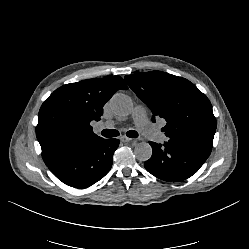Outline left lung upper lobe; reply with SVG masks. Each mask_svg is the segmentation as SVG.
Masks as SVG:
<instances>
[{
  "label": "left lung upper lobe",
  "instance_id": "obj_1",
  "mask_svg": "<svg viewBox=\"0 0 249 249\" xmlns=\"http://www.w3.org/2000/svg\"><path fill=\"white\" fill-rule=\"evenodd\" d=\"M129 87L152 111L164 118L168 142L211 152L216 119L209 99L185 78L162 71L125 76Z\"/></svg>",
  "mask_w": 249,
  "mask_h": 249
}]
</instances>
